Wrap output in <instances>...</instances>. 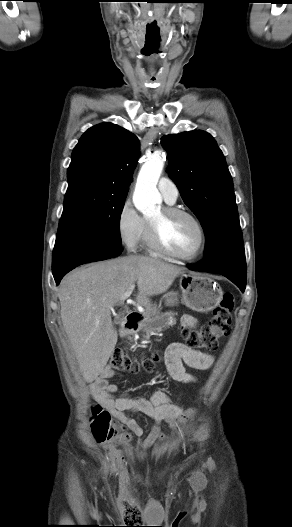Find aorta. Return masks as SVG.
I'll return each instance as SVG.
<instances>
[{
	"label": "aorta",
	"mask_w": 292,
	"mask_h": 527,
	"mask_svg": "<svg viewBox=\"0 0 292 527\" xmlns=\"http://www.w3.org/2000/svg\"><path fill=\"white\" fill-rule=\"evenodd\" d=\"M164 167L161 151H155L147 157L137 177L133 195V203L137 210L148 214L157 208L161 202V195L157 190V183Z\"/></svg>",
	"instance_id": "aorta-1"
}]
</instances>
